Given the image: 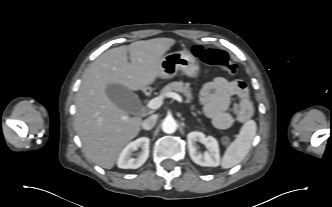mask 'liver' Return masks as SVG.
Segmentation results:
<instances>
[{"label":"liver","mask_w":332,"mask_h":207,"mask_svg":"<svg viewBox=\"0 0 332 207\" xmlns=\"http://www.w3.org/2000/svg\"><path fill=\"white\" fill-rule=\"evenodd\" d=\"M175 43L171 38L136 41L107 50L86 68L76 96L75 130L93 163L111 169L142 124L140 117L128 116L110 100L107 87L120 84L137 91L153 84L160 74V60Z\"/></svg>","instance_id":"liver-1"}]
</instances>
